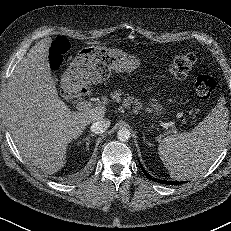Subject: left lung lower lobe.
I'll return each mask as SVG.
<instances>
[{"mask_svg": "<svg viewBox=\"0 0 231 231\" xmlns=\"http://www.w3.org/2000/svg\"><path fill=\"white\" fill-rule=\"evenodd\" d=\"M141 169H142V171L144 172L145 176H146L148 179L152 180V181H156V182H159V183H164V184H166V185H178V184H181L180 182H175V181L158 180V179L152 177L151 175H149V174L144 170V168H143L142 166H141Z\"/></svg>", "mask_w": 231, "mask_h": 231, "instance_id": "left-lung-lower-lobe-1", "label": "left lung lower lobe"}]
</instances>
